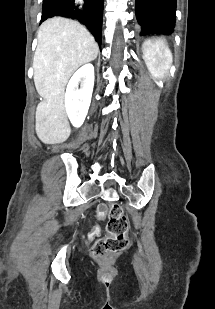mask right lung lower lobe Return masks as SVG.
Masks as SVG:
<instances>
[{
  "label": "right lung lower lobe",
  "instance_id": "1",
  "mask_svg": "<svg viewBox=\"0 0 215 309\" xmlns=\"http://www.w3.org/2000/svg\"><path fill=\"white\" fill-rule=\"evenodd\" d=\"M104 0H43L41 21L54 16L78 20L101 45Z\"/></svg>",
  "mask_w": 215,
  "mask_h": 309
}]
</instances>
